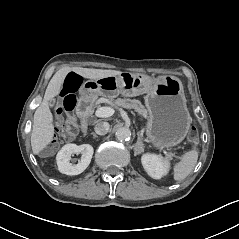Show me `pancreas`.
Instances as JSON below:
<instances>
[{
  "label": "pancreas",
  "mask_w": 239,
  "mask_h": 239,
  "mask_svg": "<svg viewBox=\"0 0 239 239\" xmlns=\"http://www.w3.org/2000/svg\"><path fill=\"white\" fill-rule=\"evenodd\" d=\"M113 108L117 109L119 106L126 108L128 110L135 109L140 115L146 117L147 111L142 103L138 100L131 99H117L113 101Z\"/></svg>",
  "instance_id": "cf45deb5"
}]
</instances>
